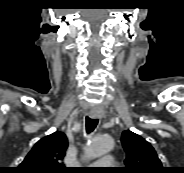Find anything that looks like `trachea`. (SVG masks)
<instances>
[{
  "mask_svg": "<svg viewBox=\"0 0 184 173\" xmlns=\"http://www.w3.org/2000/svg\"><path fill=\"white\" fill-rule=\"evenodd\" d=\"M97 124H98V119L86 117V131H87V133H91L92 131H94Z\"/></svg>",
  "mask_w": 184,
  "mask_h": 173,
  "instance_id": "obj_1",
  "label": "trachea"
}]
</instances>
